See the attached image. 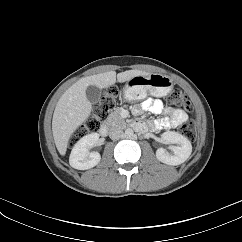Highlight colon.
Masks as SVG:
<instances>
[{
    "label": "colon",
    "mask_w": 242,
    "mask_h": 242,
    "mask_svg": "<svg viewBox=\"0 0 242 242\" xmlns=\"http://www.w3.org/2000/svg\"><path fill=\"white\" fill-rule=\"evenodd\" d=\"M117 96L118 90L116 88H108L100 103L94 108L85 123L77 128L76 131L72 134L70 143H76L84 136L90 133L98 132L104 121L108 118L110 112L115 109ZM167 102L169 105L183 110L190 111L192 109L191 104L187 100L186 96L179 90H175L170 93L167 98ZM180 131L189 140L195 139V127L192 122H188L182 125Z\"/></svg>",
    "instance_id": "colon-1"
}]
</instances>
